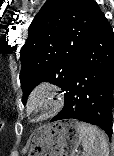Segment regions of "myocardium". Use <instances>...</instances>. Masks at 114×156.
I'll return each instance as SVG.
<instances>
[{
  "label": "myocardium",
  "instance_id": "f54148a6",
  "mask_svg": "<svg viewBox=\"0 0 114 156\" xmlns=\"http://www.w3.org/2000/svg\"><path fill=\"white\" fill-rule=\"evenodd\" d=\"M45 99V107L38 109L39 99ZM65 102L64 93L61 88L51 81L37 83L29 92L24 103L27 118L32 123L48 119L58 113Z\"/></svg>",
  "mask_w": 114,
  "mask_h": 156
}]
</instances>
